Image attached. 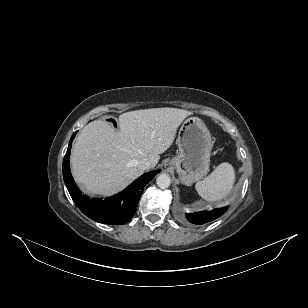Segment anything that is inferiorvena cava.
I'll list each match as a JSON object with an SVG mask.
<instances>
[{
    "label": "inferior vena cava",
    "instance_id": "1",
    "mask_svg": "<svg viewBox=\"0 0 308 308\" xmlns=\"http://www.w3.org/2000/svg\"><path fill=\"white\" fill-rule=\"evenodd\" d=\"M137 167L144 171L151 167V163L147 158H142L137 162Z\"/></svg>",
    "mask_w": 308,
    "mask_h": 308
}]
</instances>
